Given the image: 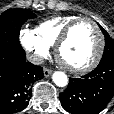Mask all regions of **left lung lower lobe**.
<instances>
[{
    "instance_id": "1",
    "label": "left lung lower lobe",
    "mask_w": 114,
    "mask_h": 114,
    "mask_svg": "<svg viewBox=\"0 0 114 114\" xmlns=\"http://www.w3.org/2000/svg\"><path fill=\"white\" fill-rule=\"evenodd\" d=\"M114 95V61L100 62L81 79H69L59 99L63 108L72 114H98Z\"/></svg>"
}]
</instances>
